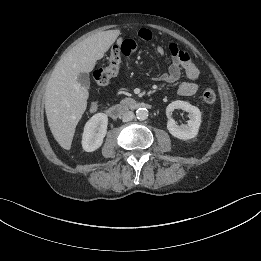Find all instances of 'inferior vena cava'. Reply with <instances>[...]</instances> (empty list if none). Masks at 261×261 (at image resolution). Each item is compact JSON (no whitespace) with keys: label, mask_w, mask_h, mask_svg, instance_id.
Returning a JSON list of instances; mask_svg holds the SVG:
<instances>
[{"label":"inferior vena cava","mask_w":261,"mask_h":261,"mask_svg":"<svg viewBox=\"0 0 261 261\" xmlns=\"http://www.w3.org/2000/svg\"><path fill=\"white\" fill-rule=\"evenodd\" d=\"M135 117L134 113L132 111H126L122 114V121L128 122L131 121Z\"/></svg>","instance_id":"602c4592"}]
</instances>
